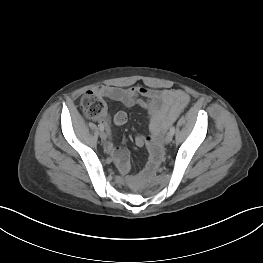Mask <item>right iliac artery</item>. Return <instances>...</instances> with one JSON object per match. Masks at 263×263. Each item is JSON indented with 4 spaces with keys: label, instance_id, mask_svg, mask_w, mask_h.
<instances>
[{
    "label": "right iliac artery",
    "instance_id": "1",
    "mask_svg": "<svg viewBox=\"0 0 263 263\" xmlns=\"http://www.w3.org/2000/svg\"><path fill=\"white\" fill-rule=\"evenodd\" d=\"M98 127H99V129H100L101 131L104 130V126H103V124H99Z\"/></svg>",
    "mask_w": 263,
    "mask_h": 263
}]
</instances>
